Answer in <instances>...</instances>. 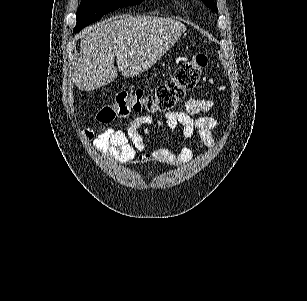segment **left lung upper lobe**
I'll return each instance as SVG.
<instances>
[{
  "instance_id": "obj_1",
  "label": "left lung upper lobe",
  "mask_w": 307,
  "mask_h": 301,
  "mask_svg": "<svg viewBox=\"0 0 307 301\" xmlns=\"http://www.w3.org/2000/svg\"><path fill=\"white\" fill-rule=\"evenodd\" d=\"M202 1L207 7H209L211 10L215 11L216 13H218V9L214 3V0H202Z\"/></svg>"
}]
</instances>
